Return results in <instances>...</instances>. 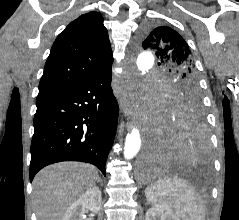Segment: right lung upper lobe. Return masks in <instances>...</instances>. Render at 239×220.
Listing matches in <instances>:
<instances>
[{
  "label": "right lung upper lobe",
  "mask_w": 239,
  "mask_h": 220,
  "mask_svg": "<svg viewBox=\"0 0 239 220\" xmlns=\"http://www.w3.org/2000/svg\"><path fill=\"white\" fill-rule=\"evenodd\" d=\"M112 62L102 15H81L56 38L39 83V94L79 84Z\"/></svg>",
  "instance_id": "cb5924a9"
}]
</instances>
